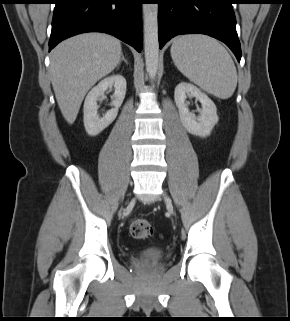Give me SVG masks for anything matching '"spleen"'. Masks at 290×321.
I'll return each mask as SVG.
<instances>
[{"label":"spleen","mask_w":290,"mask_h":321,"mask_svg":"<svg viewBox=\"0 0 290 321\" xmlns=\"http://www.w3.org/2000/svg\"><path fill=\"white\" fill-rule=\"evenodd\" d=\"M171 57L190 81L221 99L229 98L237 85V72L227 50L205 35H185L171 46Z\"/></svg>","instance_id":"obj_1"}]
</instances>
